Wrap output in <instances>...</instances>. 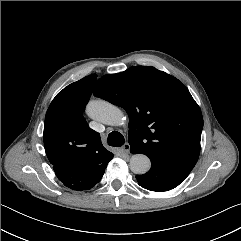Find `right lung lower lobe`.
Returning a JSON list of instances; mask_svg holds the SVG:
<instances>
[{"label":"right lung lower lobe","instance_id":"obj_1","mask_svg":"<svg viewBox=\"0 0 241 241\" xmlns=\"http://www.w3.org/2000/svg\"><path fill=\"white\" fill-rule=\"evenodd\" d=\"M105 166L81 164V163H58L53 169L58 179L72 190L91 189L97 184L105 171Z\"/></svg>","mask_w":241,"mask_h":241}]
</instances>
